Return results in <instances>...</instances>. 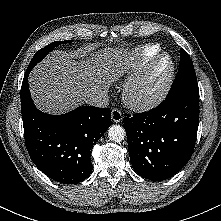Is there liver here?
I'll list each match as a JSON object with an SVG mask.
<instances>
[{
	"label": "liver",
	"instance_id": "liver-1",
	"mask_svg": "<svg viewBox=\"0 0 221 221\" xmlns=\"http://www.w3.org/2000/svg\"><path fill=\"white\" fill-rule=\"evenodd\" d=\"M133 64V55L118 48L93 53L55 50L29 77L34 103L47 113L67 112L85 103L89 95L107 91Z\"/></svg>",
	"mask_w": 221,
	"mask_h": 221
}]
</instances>
